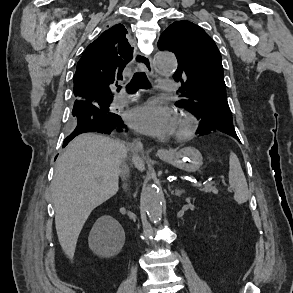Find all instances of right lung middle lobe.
<instances>
[{
  "mask_svg": "<svg viewBox=\"0 0 293 293\" xmlns=\"http://www.w3.org/2000/svg\"><path fill=\"white\" fill-rule=\"evenodd\" d=\"M111 100L110 99H105V98H98L93 100L94 105H96L98 108H100L102 111H110L109 106H110Z\"/></svg>",
  "mask_w": 293,
  "mask_h": 293,
  "instance_id": "1",
  "label": "right lung middle lobe"
}]
</instances>
